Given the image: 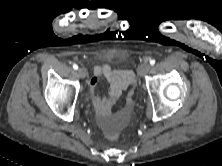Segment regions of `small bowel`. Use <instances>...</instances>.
Here are the masks:
<instances>
[{
    "instance_id": "obj_1",
    "label": "small bowel",
    "mask_w": 222,
    "mask_h": 166,
    "mask_svg": "<svg viewBox=\"0 0 222 166\" xmlns=\"http://www.w3.org/2000/svg\"><path fill=\"white\" fill-rule=\"evenodd\" d=\"M93 78L90 80V94L93 106L98 114L99 121L103 129L108 132L114 130L109 122V115L113 106L120 99L123 92L133 84L135 75L127 68L114 69L108 64L97 65L93 68ZM100 78L106 79L109 83L107 96L98 93V83Z\"/></svg>"
}]
</instances>
